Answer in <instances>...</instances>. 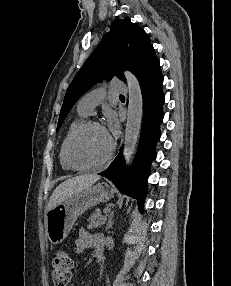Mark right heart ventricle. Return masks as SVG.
Masks as SVG:
<instances>
[{"label":"right heart ventricle","instance_id":"right-heart-ventricle-1","mask_svg":"<svg viewBox=\"0 0 231 286\" xmlns=\"http://www.w3.org/2000/svg\"><path fill=\"white\" fill-rule=\"evenodd\" d=\"M87 117L86 114H83L81 112L78 113V116L75 120H73L71 122V124L69 125L64 137H63V140L61 142V145H60V148H59V153H58V157H59V162H60V165L61 167L64 169V170H72L66 163L65 161V145H66V142H67V139L68 137L70 136V134L81 124L85 121V118Z\"/></svg>","mask_w":231,"mask_h":286}]
</instances>
